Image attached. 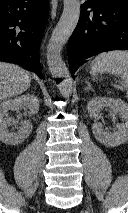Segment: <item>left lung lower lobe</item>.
I'll use <instances>...</instances> for the list:
<instances>
[{"label": "left lung lower lobe", "mask_w": 128, "mask_h": 213, "mask_svg": "<svg viewBox=\"0 0 128 213\" xmlns=\"http://www.w3.org/2000/svg\"><path fill=\"white\" fill-rule=\"evenodd\" d=\"M111 50H128V0H87L69 39L72 76L85 59Z\"/></svg>", "instance_id": "left-lung-lower-lobe-1"}]
</instances>
